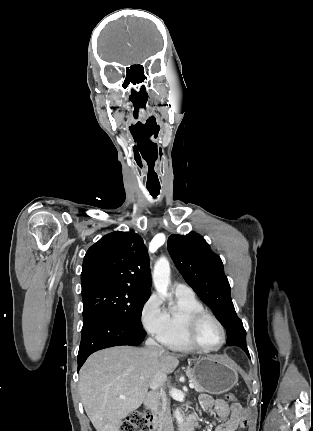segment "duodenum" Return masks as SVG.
Instances as JSON below:
<instances>
[{"label": "duodenum", "instance_id": "410a0bca", "mask_svg": "<svg viewBox=\"0 0 313 431\" xmlns=\"http://www.w3.org/2000/svg\"><path fill=\"white\" fill-rule=\"evenodd\" d=\"M146 409L153 413L152 426L153 431H170L165 418L158 412V397L155 393H150L145 401ZM196 418L194 415L187 417L184 424V431H194Z\"/></svg>", "mask_w": 313, "mask_h": 431}]
</instances>
